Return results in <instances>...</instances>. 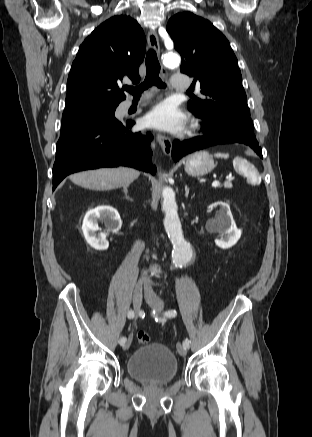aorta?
Returning a JSON list of instances; mask_svg holds the SVG:
<instances>
[{
  "label": "aorta",
  "mask_w": 312,
  "mask_h": 437,
  "mask_svg": "<svg viewBox=\"0 0 312 437\" xmlns=\"http://www.w3.org/2000/svg\"><path fill=\"white\" fill-rule=\"evenodd\" d=\"M163 63L167 67H176L180 63V57L175 53L164 55ZM162 208L165 212L164 227L173 244L172 260L176 266L186 263L192 257V249L183 237L181 222L178 216V206L175 193L170 187H164L162 191Z\"/></svg>",
  "instance_id": "obj_1"
}]
</instances>
